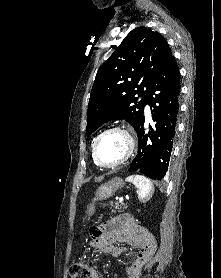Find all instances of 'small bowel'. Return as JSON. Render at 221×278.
Instances as JSON below:
<instances>
[{
  "label": "small bowel",
  "mask_w": 221,
  "mask_h": 278,
  "mask_svg": "<svg viewBox=\"0 0 221 278\" xmlns=\"http://www.w3.org/2000/svg\"><path fill=\"white\" fill-rule=\"evenodd\" d=\"M92 236L94 239L91 245L111 256H121L129 248L140 249L135 261L127 267L129 278H139L142 265L155 250L153 236L137 220L128 215L112 218L104 226L95 228ZM90 278H100L96 269H91Z\"/></svg>",
  "instance_id": "1"
}]
</instances>
